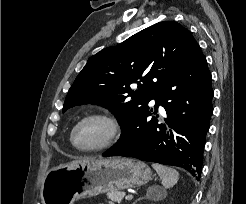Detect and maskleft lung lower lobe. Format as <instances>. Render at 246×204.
Masks as SVG:
<instances>
[{
    "instance_id": "1",
    "label": "left lung lower lobe",
    "mask_w": 246,
    "mask_h": 204,
    "mask_svg": "<svg viewBox=\"0 0 246 204\" xmlns=\"http://www.w3.org/2000/svg\"><path fill=\"white\" fill-rule=\"evenodd\" d=\"M211 73L199 45L153 92L144 109L103 156L134 157L178 166L200 178L206 133L213 112ZM155 99V116L148 103ZM164 108L162 115L158 106ZM153 111V109H151Z\"/></svg>"
}]
</instances>
